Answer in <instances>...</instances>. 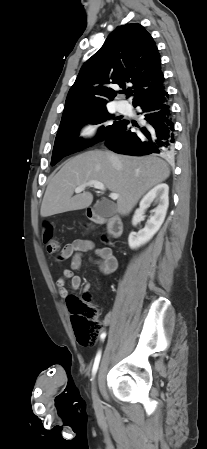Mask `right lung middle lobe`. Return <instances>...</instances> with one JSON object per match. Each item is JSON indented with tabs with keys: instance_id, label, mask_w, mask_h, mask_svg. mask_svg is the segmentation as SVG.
I'll return each mask as SVG.
<instances>
[{
	"instance_id": "right-lung-middle-lobe-1",
	"label": "right lung middle lobe",
	"mask_w": 207,
	"mask_h": 449,
	"mask_svg": "<svg viewBox=\"0 0 207 449\" xmlns=\"http://www.w3.org/2000/svg\"><path fill=\"white\" fill-rule=\"evenodd\" d=\"M108 119L116 120L117 118H114V115L109 114L107 109L62 119L55 139L51 165H55L67 155L81 151L96 142L105 140L109 137L120 126L122 121H114L111 125L100 127L96 139L90 142H85L78 138V132L82 125L86 123L100 124Z\"/></svg>"
}]
</instances>
